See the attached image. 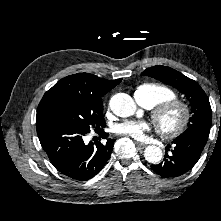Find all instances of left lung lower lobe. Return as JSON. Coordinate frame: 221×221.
<instances>
[{"mask_svg": "<svg viewBox=\"0 0 221 221\" xmlns=\"http://www.w3.org/2000/svg\"><path fill=\"white\" fill-rule=\"evenodd\" d=\"M208 136L209 131H196L179 136L173 141L175 147L171 153H165L164 161L152 166V169L164 178H174L186 174L199 160Z\"/></svg>", "mask_w": 221, "mask_h": 221, "instance_id": "0a47b994", "label": "left lung lower lobe"}]
</instances>
